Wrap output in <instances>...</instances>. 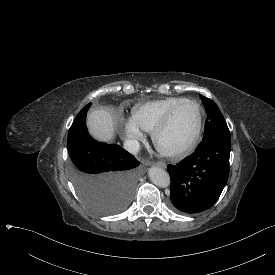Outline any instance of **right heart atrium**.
I'll use <instances>...</instances> for the list:
<instances>
[{"mask_svg": "<svg viewBox=\"0 0 275 275\" xmlns=\"http://www.w3.org/2000/svg\"><path fill=\"white\" fill-rule=\"evenodd\" d=\"M126 134H127V139L131 143L138 142L142 139L143 134L141 130L132 122L127 121V126H126Z\"/></svg>", "mask_w": 275, "mask_h": 275, "instance_id": "1", "label": "right heart atrium"}]
</instances>
